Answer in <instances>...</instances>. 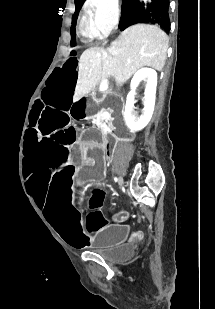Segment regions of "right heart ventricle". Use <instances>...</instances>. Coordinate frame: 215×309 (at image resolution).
<instances>
[{
  "label": "right heart ventricle",
  "mask_w": 215,
  "mask_h": 309,
  "mask_svg": "<svg viewBox=\"0 0 215 309\" xmlns=\"http://www.w3.org/2000/svg\"><path fill=\"white\" fill-rule=\"evenodd\" d=\"M82 24H89V21H82ZM84 28H89V25H84Z\"/></svg>",
  "instance_id": "1"
}]
</instances>
